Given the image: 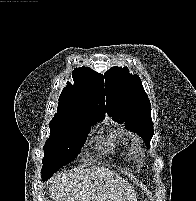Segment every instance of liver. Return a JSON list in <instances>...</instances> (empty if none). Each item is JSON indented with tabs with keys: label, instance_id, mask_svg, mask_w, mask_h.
<instances>
[{
	"label": "liver",
	"instance_id": "liver-1",
	"mask_svg": "<svg viewBox=\"0 0 196 201\" xmlns=\"http://www.w3.org/2000/svg\"><path fill=\"white\" fill-rule=\"evenodd\" d=\"M53 201H134L135 193L127 180L106 168L74 169L49 180Z\"/></svg>",
	"mask_w": 196,
	"mask_h": 201
}]
</instances>
